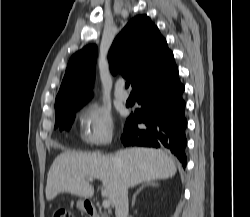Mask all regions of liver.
Returning <instances> with one entry per match:
<instances>
[{"instance_id":"obj_1","label":"liver","mask_w":250,"mask_h":217,"mask_svg":"<svg viewBox=\"0 0 250 217\" xmlns=\"http://www.w3.org/2000/svg\"><path fill=\"white\" fill-rule=\"evenodd\" d=\"M177 171L174 161L161 149L134 147L113 155L63 152L53 161L47 176L46 199L59 193L91 198L89 179L102 182L101 195L114 207L122 185L134 187L143 182L171 178Z\"/></svg>"}]
</instances>
